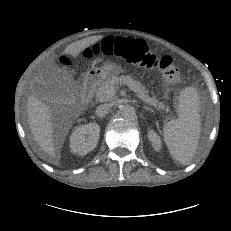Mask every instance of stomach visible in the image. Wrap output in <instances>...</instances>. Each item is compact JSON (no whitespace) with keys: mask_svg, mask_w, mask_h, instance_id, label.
<instances>
[{"mask_svg":"<svg viewBox=\"0 0 231 231\" xmlns=\"http://www.w3.org/2000/svg\"><path fill=\"white\" fill-rule=\"evenodd\" d=\"M121 70L112 62L104 63L102 66H92L87 72L86 77L96 81H102L113 74L119 73Z\"/></svg>","mask_w":231,"mask_h":231,"instance_id":"0dacf381","label":"stomach"}]
</instances>
